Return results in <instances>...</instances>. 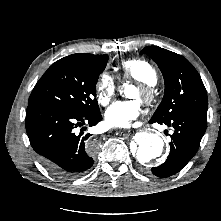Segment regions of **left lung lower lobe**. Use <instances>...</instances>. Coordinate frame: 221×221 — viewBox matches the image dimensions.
Listing matches in <instances>:
<instances>
[{
  "label": "left lung lower lobe",
  "mask_w": 221,
  "mask_h": 221,
  "mask_svg": "<svg viewBox=\"0 0 221 221\" xmlns=\"http://www.w3.org/2000/svg\"><path fill=\"white\" fill-rule=\"evenodd\" d=\"M150 123L154 122L150 120ZM158 123H164L174 129L167 160L151 169L154 175L164 178L178 173L195 155L206 131L207 122L196 116L182 114Z\"/></svg>",
  "instance_id": "left-lung-lower-lobe-1"
}]
</instances>
